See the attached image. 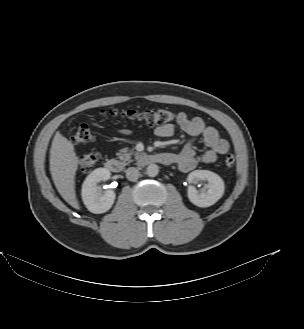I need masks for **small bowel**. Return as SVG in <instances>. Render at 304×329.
<instances>
[{
    "instance_id": "1",
    "label": "small bowel",
    "mask_w": 304,
    "mask_h": 329,
    "mask_svg": "<svg viewBox=\"0 0 304 329\" xmlns=\"http://www.w3.org/2000/svg\"><path fill=\"white\" fill-rule=\"evenodd\" d=\"M176 124L189 136V141L176 154H171L173 163L183 172L193 170L198 164H212L219 155L227 153L230 149L229 142L222 138L217 129L205 124L201 117H188L185 112H177ZM175 125L167 123L158 126L155 134L161 138H167L174 134ZM119 135L126 136L130 132L127 129L117 131ZM202 138L207 150L198 154L194 149V142Z\"/></svg>"
}]
</instances>
